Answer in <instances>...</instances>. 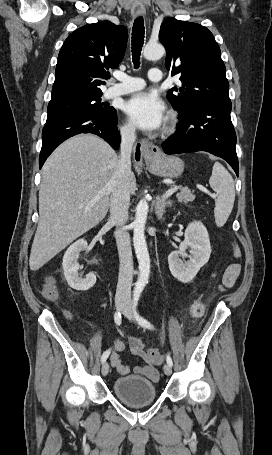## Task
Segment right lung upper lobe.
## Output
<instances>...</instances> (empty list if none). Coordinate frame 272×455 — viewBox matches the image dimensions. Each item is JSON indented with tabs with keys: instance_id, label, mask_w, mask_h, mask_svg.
I'll return each mask as SVG.
<instances>
[{
	"instance_id": "1",
	"label": "right lung upper lobe",
	"mask_w": 272,
	"mask_h": 455,
	"mask_svg": "<svg viewBox=\"0 0 272 455\" xmlns=\"http://www.w3.org/2000/svg\"><path fill=\"white\" fill-rule=\"evenodd\" d=\"M125 26L110 21L88 24L72 32L58 55L51 101L102 94L99 86L124 57Z\"/></svg>"
}]
</instances>
